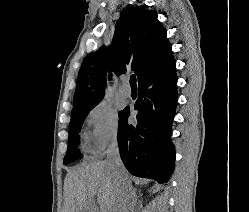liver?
Returning <instances> with one entry per match:
<instances>
[{"mask_svg": "<svg viewBox=\"0 0 249 212\" xmlns=\"http://www.w3.org/2000/svg\"><path fill=\"white\" fill-rule=\"evenodd\" d=\"M114 168L108 162L82 164L65 178L66 212H113L115 200ZM97 202H96V200Z\"/></svg>", "mask_w": 249, "mask_h": 212, "instance_id": "obj_1", "label": "liver"}]
</instances>
